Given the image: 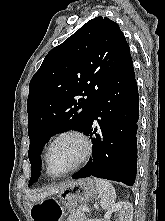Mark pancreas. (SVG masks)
<instances>
[{
	"instance_id": "cf45deb5",
	"label": "pancreas",
	"mask_w": 165,
	"mask_h": 221,
	"mask_svg": "<svg viewBox=\"0 0 165 221\" xmlns=\"http://www.w3.org/2000/svg\"><path fill=\"white\" fill-rule=\"evenodd\" d=\"M85 214L82 207L74 209L72 213L67 218V221H85Z\"/></svg>"
}]
</instances>
